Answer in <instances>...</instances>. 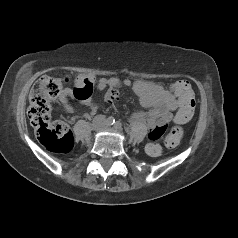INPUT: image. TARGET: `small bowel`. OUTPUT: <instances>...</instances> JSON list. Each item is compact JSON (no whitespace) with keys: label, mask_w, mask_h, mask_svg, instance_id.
<instances>
[{"label":"small bowel","mask_w":238,"mask_h":238,"mask_svg":"<svg viewBox=\"0 0 238 238\" xmlns=\"http://www.w3.org/2000/svg\"><path fill=\"white\" fill-rule=\"evenodd\" d=\"M179 82L173 83L169 89H164L160 85H156L150 82L130 79L120 80L118 78H100L95 82L97 90L108 89L107 100L110 94H115L117 97V89L125 86L131 88L132 91L138 96L140 103L144 107H149L151 110L148 113H138L135 118L145 119L150 127L157 125H165L171 121L175 122L173 112H176L179 102V96L176 94V86ZM75 89H65L60 97L62 108L65 112H72L73 107L68 101L70 95H74L75 91L78 92V97L83 104L90 107L93 114L97 106L91 99L92 80L85 76H77L75 80ZM115 99V98H114ZM90 114H86L85 117H89Z\"/></svg>","instance_id":"1"}]
</instances>
